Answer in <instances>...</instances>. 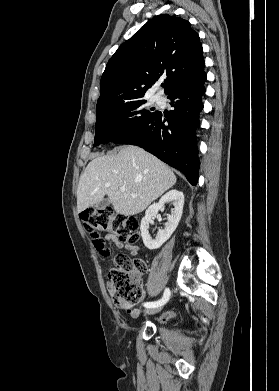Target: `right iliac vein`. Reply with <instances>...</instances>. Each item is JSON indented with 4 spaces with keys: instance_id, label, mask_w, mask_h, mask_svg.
Returning a JSON list of instances; mask_svg holds the SVG:
<instances>
[{
    "instance_id": "obj_1",
    "label": "right iliac vein",
    "mask_w": 279,
    "mask_h": 391,
    "mask_svg": "<svg viewBox=\"0 0 279 391\" xmlns=\"http://www.w3.org/2000/svg\"><path fill=\"white\" fill-rule=\"evenodd\" d=\"M161 309H162L161 306L154 307V308H149V309L145 310V314L153 315V314H156V313L160 312Z\"/></svg>"
}]
</instances>
